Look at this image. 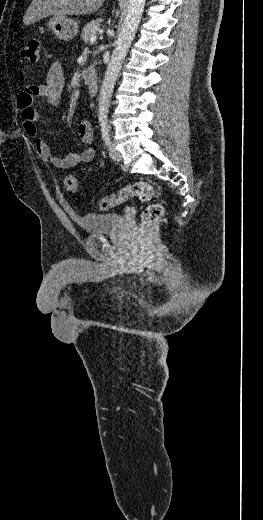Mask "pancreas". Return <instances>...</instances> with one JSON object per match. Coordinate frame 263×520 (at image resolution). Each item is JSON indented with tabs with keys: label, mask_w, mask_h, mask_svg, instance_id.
Here are the masks:
<instances>
[{
	"label": "pancreas",
	"mask_w": 263,
	"mask_h": 520,
	"mask_svg": "<svg viewBox=\"0 0 263 520\" xmlns=\"http://www.w3.org/2000/svg\"><path fill=\"white\" fill-rule=\"evenodd\" d=\"M99 29H100V23L98 20H93V21L89 22L87 25L84 26V28L82 30V34H81L82 40L85 43H87L92 36L97 34Z\"/></svg>",
	"instance_id": "pancreas-1"
}]
</instances>
